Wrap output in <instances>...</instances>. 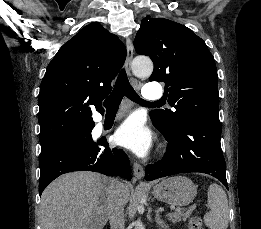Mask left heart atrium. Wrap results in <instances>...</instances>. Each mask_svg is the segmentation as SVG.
I'll list each match as a JSON object with an SVG mask.
<instances>
[{
    "label": "left heart atrium",
    "mask_w": 261,
    "mask_h": 229,
    "mask_svg": "<svg viewBox=\"0 0 261 229\" xmlns=\"http://www.w3.org/2000/svg\"><path fill=\"white\" fill-rule=\"evenodd\" d=\"M113 140L119 146L144 155L152 146L153 135L142 118L131 116L117 128Z\"/></svg>",
    "instance_id": "1"
}]
</instances>
